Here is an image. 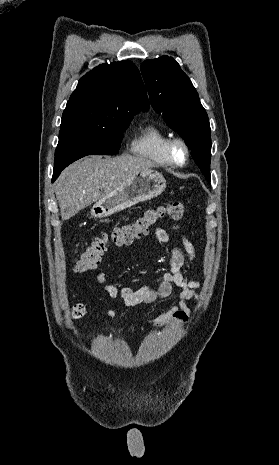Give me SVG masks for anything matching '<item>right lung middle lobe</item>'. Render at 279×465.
Returning a JSON list of instances; mask_svg holds the SVG:
<instances>
[{
    "mask_svg": "<svg viewBox=\"0 0 279 465\" xmlns=\"http://www.w3.org/2000/svg\"><path fill=\"white\" fill-rule=\"evenodd\" d=\"M134 114L117 113L101 125H72L60 127L55 151V168L66 167L86 155H115L119 153L123 132Z\"/></svg>",
    "mask_w": 279,
    "mask_h": 465,
    "instance_id": "1",
    "label": "right lung middle lobe"
}]
</instances>
